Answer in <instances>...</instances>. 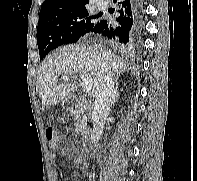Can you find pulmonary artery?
<instances>
[{
    "label": "pulmonary artery",
    "instance_id": "obj_1",
    "mask_svg": "<svg viewBox=\"0 0 197 181\" xmlns=\"http://www.w3.org/2000/svg\"><path fill=\"white\" fill-rule=\"evenodd\" d=\"M97 7L100 9V10H103L105 9L106 5L104 3H98L97 4Z\"/></svg>",
    "mask_w": 197,
    "mask_h": 181
}]
</instances>
